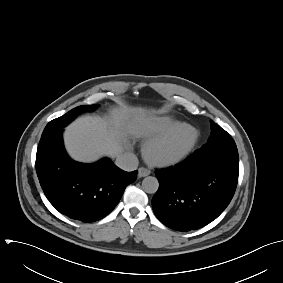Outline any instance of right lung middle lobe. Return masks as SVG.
<instances>
[{
  "mask_svg": "<svg viewBox=\"0 0 283 283\" xmlns=\"http://www.w3.org/2000/svg\"><path fill=\"white\" fill-rule=\"evenodd\" d=\"M97 107H98L97 104H95V105H82V106H79V107H76V108L72 109L71 111H69L68 113L64 114L63 116L50 121L46 125L42 135H45V134H47V133H49V132H51L53 130L65 127L79 113L86 112V111H94V110H96Z\"/></svg>",
  "mask_w": 283,
  "mask_h": 283,
  "instance_id": "obj_1",
  "label": "right lung middle lobe"
}]
</instances>
